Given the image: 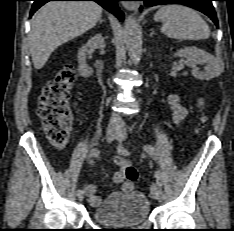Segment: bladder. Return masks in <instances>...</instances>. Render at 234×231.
<instances>
[{
  "instance_id": "obj_1",
  "label": "bladder",
  "mask_w": 234,
  "mask_h": 231,
  "mask_svg": "<svg viewBox=\"0 0 234 231\" xmlns=\"http://www.w3.org/2000/svg\"><path fill=\"white\" fill-rule=\"evenodd\" d=\"M150 216V203L145 194L138 191L108 196L92 212V219L110 226H136L145 223Z\"/></svg>"
}]
</instances>
